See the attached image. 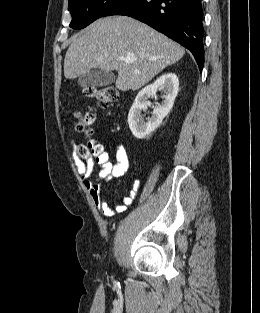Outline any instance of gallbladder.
Returning <instances> with one entry per match:
<instances>
[{"instance_id": "1", "label": "gallbladder", "mask_w": 260, "mask_h": 313, "mask_svg": "<svg viewBox=\"0 0 260 313\" xmlns=\"http://www.w3.org/2000/svg\"><path fill=\"white\" fill-rule=\"evenodd\" d=\"M114 81L115 75L111 71L91 70L79 77L78 84L81 87H103L114 83Z\"/></svg>"}]
</instances>
